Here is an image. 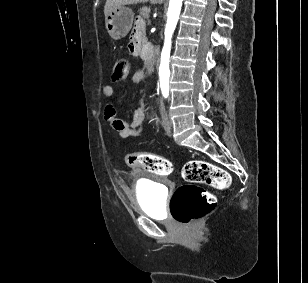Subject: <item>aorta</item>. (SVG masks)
Masks as SVG:
<instances>
[{
  "label": "aorta",
  "instance_id": "obj_1",
  "mask_svg": "<svg viewBox=\"0 0 308 283\" xmlns=\"http://www.w3.org/2000/svg\"><path fill=\"white\" fill-rule=\"evenodd\" d=\"M182 1L183 0H170L169 2V8L167 12V23L165 27V41L159 67V78H160V85L162 88H167L169 86V77H170L169 59H170L171 39L179 19Z\"/></svg>",
  "mask_w": 308,
  "mask_h": 283
}]
</instances>
